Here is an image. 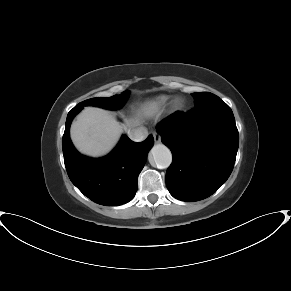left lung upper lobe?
I'll use <instances>...</instances> for the list:
<instances>
[{
    "instance_id": "5c2ea615",
    "label": "left lung upper lobe",
    "mask_w": 291,
    "mask_h": 291,
    "mask_svg": "<svg viewBox=\"0 0 291 291\" xmlns=\"http://www.w3.org/2000/svg\"><path fill=\"white\" fill-rule=\"evenodd\" d=\"M191 95L194 97V100H195V108L204 106L215 100L220 99L218 96L209 92L192 93Z\"/></svg>"
}]
</instances>
